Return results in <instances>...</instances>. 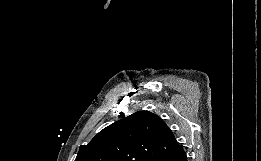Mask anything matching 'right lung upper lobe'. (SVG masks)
<instances>
[{"mask_svg": "<svg viewBox=\"0 0 261 161\" xmlns=\"http://www.w3.org/2000/svg\"><path fill=\"white\" fill-rule=\"evenodd\" d=\"M181 148L160 117L138 111L104 128L82 145L75 161H154Z\"/></svg>", "mask_w": 261, "mask_h": 161, "instance_id": "cb5924a9", "label": "right lung upper lobe"}]
</instances>
